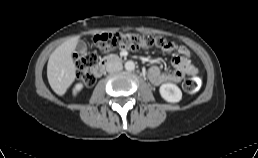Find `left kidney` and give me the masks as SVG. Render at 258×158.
I'll return each instance as SVG.
<instances>
[{
    "label": "left kidney",
    "mask_w": 258,
    "mask_h": 158,
    "mask_svg": "<svg viewBox=\"0 0 258 158\" xmlns=\"http://www.w3.org/2000/svg\"><path fill=\"white\" fill-rule=\"evenodd\" d=\"M161 97L170 103H177L182 99L180 88L172 83L162 84L159 88Z\"/></svg>",
    "instance_id": "obj_1"
}]
</instances>
